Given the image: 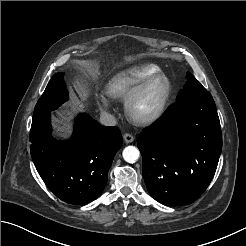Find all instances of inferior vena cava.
<instances>
[{
  "label": "inferior vena cava",
  "instance_id": "inferior-vena-cava-1",
  "mask_svg": "<svg viewBox=\"0 0 246 246\" xmlns=\"http://www.w3.org/2000/svg\"><path fill=\"white\" fill-rule=\"evenodd\" d=\"M100 123L104 126H115L116 118L112 114L104 112L100 115Z\"/></svg>",
  "mask_w": 246,
  "mask_h": 246
}]
</instances>
